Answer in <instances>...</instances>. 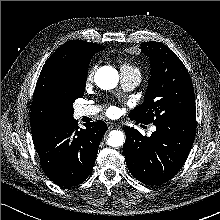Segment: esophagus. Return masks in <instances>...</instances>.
<instances>
[{
    "label": "esophagus",
    "instance_id": "1",
    "mask_svg": "<svg viewBox=\"0 0 220 220\" xmlns=\"http://www.w3.org/2000/svg\"><path fill=\"white\" fill-rule=\"evenodd\" d=\"M107 126L109 129H113L114 127H117V124L113 122H107Z\"/></svg>",
    "mask_w": 220,
    "mask_h": 220
}]
</instances>
